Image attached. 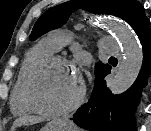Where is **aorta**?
<instances>
[{"mask_svg": "<svg viewBox=\"0 0 151 131\" xmlns=\"http://www.w3.org/2000/svg\"><path fill=\"white\" fill-rule=\"evenodd\" d=\"M104 26L112 32L123 52V60L110 90L114 95L128 90L136 80L143 62V51L130 26L118 19H109Z\"/></svg>", "mask_w": 151, "mask_h": 131, "instance_id": "aorta-1", "label": "aorta"}]
</instances>
